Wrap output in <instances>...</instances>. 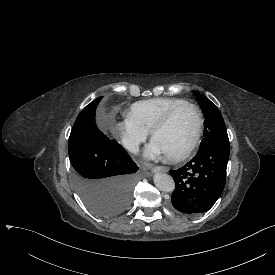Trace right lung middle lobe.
<instances>
[{
	"instance_id": "dd1d6c3e",
	"label": "right lung middle lobe",
	"mask_w": 275,
	"mask_h": 275,
	"mask_svg": "<svg viewBox=\"0 0 275 275\" xmlns=\"http://www.w3.org/2000/svg\"><path fill=\"white\" fill-rule=\"evenodd\" d=\"M102 96L78 115L69 137L72 180L84 203L95 214L113 217L130 205L141 172L125 149L96 126Z\"/></svg>"
}]
</instances>
